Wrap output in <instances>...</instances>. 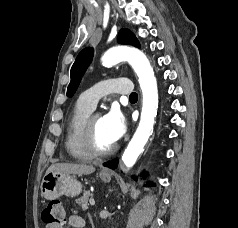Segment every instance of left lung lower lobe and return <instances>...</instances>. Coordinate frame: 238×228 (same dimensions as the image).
Segmentation results:
<instances>
[{
    "label": "left lung lower lobe",
    "instance_id": "left-lung-lower-lobe-1",
    "mask_svg": "<svg viewBox=\"0 0 238 228\" xmlns=\"http://www.w3.org/2000/svg\"><path fill=\"white\" fill-rule=\"evenodd\" d=\"M117 165H118V159H114V160L109 161V162L104 164V166L109 167L111 169H115L117 167ZM146 186H148V187L153 186V184L148 183V184H146Z\"/></svg>",
    "mask_w": 238,
    "mask_h": 228
}]
</instances>
